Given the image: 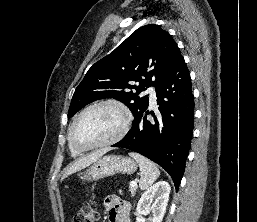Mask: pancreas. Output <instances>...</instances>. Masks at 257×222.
<instances>
[{
    "mask_svg": "<svg viewBox=\"0 0 257 222\" xmlns=\"http://www.w3.org/2000/svg\"><path fill=\"white\" fill-rule=\"evenodd\" d=\"M136 190H137V186H135V187L130 186V187H129V191L131 192V195H132V196L135 195Z\"/></svg>",
    "mask_w": 257,
    "mask_h": 222,
    "instance_id": "pancreas-1",
    "label": "pancreas"
}]
</instances>
